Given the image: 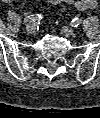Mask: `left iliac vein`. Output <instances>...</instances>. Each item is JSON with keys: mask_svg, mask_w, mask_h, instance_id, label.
I'll use <instances>...</instances> for the list:
<instances>
[{"mask_svg": "<svg viewBox=\"0 0 100 118\" xmlns=\"http://www.w3.org/2000/svg\"><path fill=\"white\" fill-rule=\"evenodd\" d=\"M61 33L62 35H64L65 37L71 36L74 34V29L72 27L69 26H65L61 29Z\"/></svg>", "mask_w": 100, "mask_h": 118, "instance_id": "obj_1", "label": "left iliac vein"}]
</instances>
